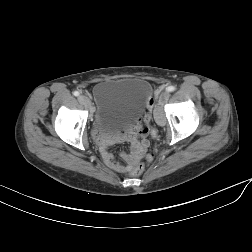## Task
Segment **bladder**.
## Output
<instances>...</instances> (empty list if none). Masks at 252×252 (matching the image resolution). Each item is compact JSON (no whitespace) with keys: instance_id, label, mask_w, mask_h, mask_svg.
I'll use <instances>...</instances> for the list:
<instances>
[{"instance_id":"obj_1","label":"bladder","mask_w":252,"mask_h":252,"mask_svg":"<svg viewBox=\"0 0 252 252\" xmlns=\"http://www.w3.org/2000/svg\"><path fill=\"white\" fill-rule=\"evenodd\" d=\"M94 129L99 136H115L133 122L147 106L148 84L141 79H112L94 88Z\"/></svg>"}]
</instances>
